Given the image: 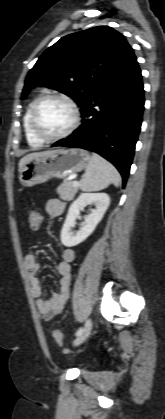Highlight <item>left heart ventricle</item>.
<instances>
[{"label":"left heart ventricle","mask_w":165,"mask_h":419,"mask_svg":"<svg viewBox=\"0 0 165 419\" xmlns=\"http://www.w3.org/2000/svg\"><path fill=\"white\" fill-rule=\"evenodd\" d=\"M72 121L70 108L63 102L48 100L37 113L38 127L47 136H54L65 131Z\"/></svg>","instance_id":"b2bd125f"}]
</instances>
